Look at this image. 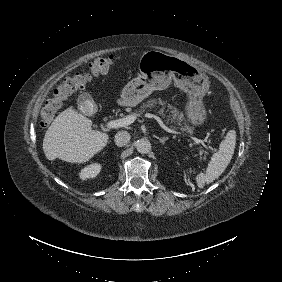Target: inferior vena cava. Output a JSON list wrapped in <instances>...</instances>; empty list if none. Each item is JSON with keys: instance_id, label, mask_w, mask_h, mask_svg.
<instances>
[{"instance_id": "1", "label": "inferior vena cava", "mask_w": 282, "mask_h": 282, "mask_svg": "<svg viewBox=\"0 0 282 282\" xmlns=\"http://www.w3.org/2000/svg\"><path fill=\"white\" fill-rule=\"evenodd\" d=\"M130 138L131 136L129 132L122 130L116 133L115 143L117 146L121 147V146L126 145L129 142Z\"/></svg>"}]
</instances>
